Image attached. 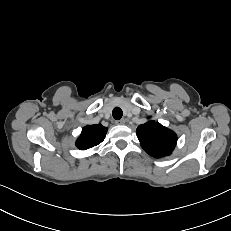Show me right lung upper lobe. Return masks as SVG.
<instances>
[{"label":"right lung upper lobe","mask_w":231,"mask_h":231,"mask_svg":"<svg viewBox=\"0 0 231 231\" xmlns=\"http://www.w3.org/2000/svg\"><path fill=\"white\" fill-rule=\"evenodd\" d=\"M107 128L101 124L87 125L82 129L81 135L76 141L80 150H86L100 144L106 136Z\"/></svg>","instance_id":"cb5924a9"}]
</instances>
